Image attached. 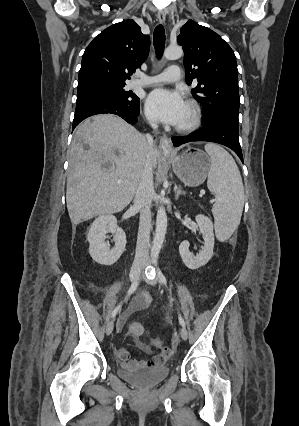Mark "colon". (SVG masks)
<instances>
[{
  "mask_svg": "<svg viewBox=\"0 0 299 426\" xmlns=\"http://www.w3.org/2000/svg\"><path fill=\"white\" fill-rule=\"evenodd\" d=\"M129 333L133 337H140L145 333V329L143 325L139 322H132L129 325ZM152 343L155 347L161 349L164 352H170L169 349L165 346H163L162 341L158 338H155L152 340Z\"/></svg>",
  "mask_w": 299,
  "mask_h": 426,
  "instance_id": "obj_1",
  "label": "colon"
}]
</instances>
